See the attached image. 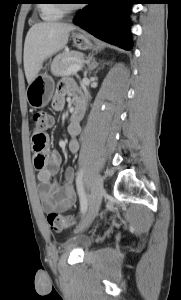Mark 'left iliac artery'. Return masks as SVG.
Returning a JSON list of instances; mask_svg holds the SVG:
<instances>
[{"label":"left iliac artery","mask_w":181,"mask_h":300,"mask_svg":"<svg viewBox=\"0 0 181 300\" xmlns=\"http://www.w3.org/2000/svg\"><path fill=\"white\" fill-rule=\"evenodd\" d=\"M83 174H84V169H81L76 177V187H77V192L80 198V210L81 213H85L87 210V196L84 190L83 186Z\"/></svg>","instance_id":"44dca946"}]
</instances>
